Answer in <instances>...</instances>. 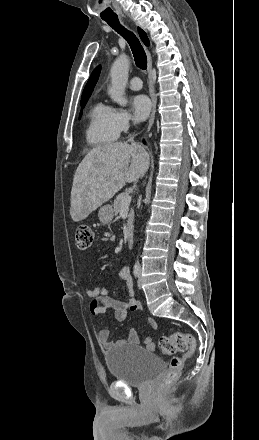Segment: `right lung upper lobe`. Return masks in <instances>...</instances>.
Returning a JSON list of instances; mask_svg holds the SVG:
<instances>
[{
    "instance_id": "cb5924a9",
    "label": "right lung upper lobe",
    "mask_w": 259,
    "mask_h": 440,
    "mask_svg": "<svg viewBox=\"0 0 259 440\" xmlns=\"http://www.w3.org/2000/svg\"><path fill=\"white\" fill-rule=\"evenodd\" d=\"M138 32H139L140 38L142 39L144 44L146 46H149L150 42L148 40V37H147L146 33L141 28H138ZM100 71H101V66H98L92 72V74H91V76H90V78H89V80H88V82H87V84H86V86L84 88V91H83L81 99L89 98L90 97V95H91V93H92V91L94 89V86H95V84H96V82L98 80Z\"/></svg>"
}]
</instances>
